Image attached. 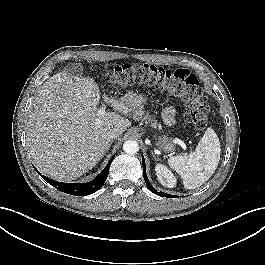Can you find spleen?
<instances>
[{"mask_svg":"<svg viewBox=\"0 0 265 265\" xmlns=\"http://www.w3.org/2000/svg\"><path fill=\"white\" fill-rule=\"evenodd\" d=\"M220 152V142L215 131L207 128L194 152L172 156L168 164L180 175L184 188L195 189L213 175L220 160Z\"/></svg>","mask_w":265,"mask_h":265,"instance_id":"1","label":"spleen"}]
</instances>
